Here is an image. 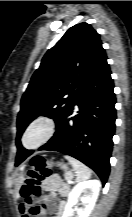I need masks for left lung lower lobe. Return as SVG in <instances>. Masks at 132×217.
<instances>
[{
	"mask_svg": "<svg viewBox=\"0 0 132 217\" xmlns=\"http://www.w3.org/2000/svg\"><path fill=\"white\" fill-rule=\"evenodd\" d=\"M113 88L111 71L105 61L63 115L54 136L39 150L58 151L80 160L105 184L110 172L116 120ZM17 147L16 166L33 152L24 150L19 141Z\"/></svg>",
	"mask_w": 132,
	"mask_h": 217,
	"instance_id": "obj_1",
	"label": "left lung lower lobe"
}]
</instances>
